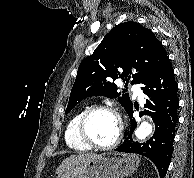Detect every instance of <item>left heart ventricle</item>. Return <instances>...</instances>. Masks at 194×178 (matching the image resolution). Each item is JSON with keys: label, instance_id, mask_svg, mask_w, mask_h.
<instances>
[{"label": "left heart ventricle", "instance_id": "1", "mask_svg": "<svg viewBox=\"0 0 194 178\" xmlns=\"http://www.w3.org/2000/svg\"><path fill=\"white\" fill-rule=\"evenodd\" d=\"M86 130L94 142L108 144L117 136L119 123L113 114L99 111L90 116L86 124Z\"/></svg>", "mask_w": 194, "mask_h": 178}]
</instances>
